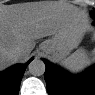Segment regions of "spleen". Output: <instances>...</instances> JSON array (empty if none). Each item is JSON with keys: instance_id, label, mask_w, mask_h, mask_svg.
I'll return each instance as SVG.
<instances>
[{"instance_id": "3e777b00", "label": "spleen", "mask_w": 95, "mask_h": 95, "mask_svg": "<svg viewBox=\"0 0 95 95\" xmlns=\"http://www.w3.org/2000/svg\"><path fill=\"white\" fill-rule=\"evenodd\" d=\"M61 65L71 73H79L91 65V59L84 48L77 49L61 62Z\"/></svg>"}]
</instances>
